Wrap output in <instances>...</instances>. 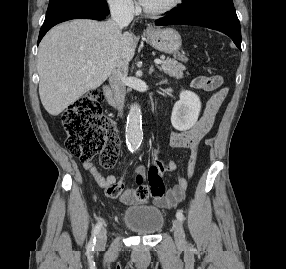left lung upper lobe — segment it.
Returning a JSON list of instances; mask_svg holds the SVG:
<instances>
[{
    "label": "left lung upper lobe",
    "mask_w": 286,
    "mask_h": 269,
    "mask_svg": "<svg viewBox=\"0 0 286 269\" xmlns=\"http://www.w3.org/2000/svg\"><path fill=\"white\" fill-rule=\"evenodd\" d=\"M181 7H175L173 10L180 12L191 11L202 7L221 6V7H233L232 0H182ZM172 10V11H173Z\"/></svg>",
    "instance_id": "obj_1"
}]
</instances>
